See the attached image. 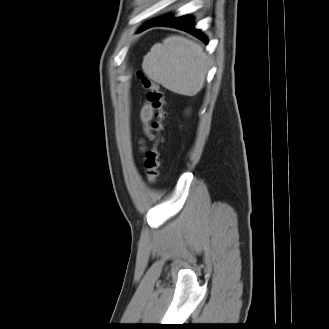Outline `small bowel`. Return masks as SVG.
<instances>
[{
	"instance_id": "obj_1",
	"label": "small bowel",
	"mask_w": 329,
	"mask_h": 329,
	"mask_svg": "<svg viewBox=\"0 0 329 329\" xmlns=\"http://www.w3.org/2000/svg\"><path fill=\"white\" fill-rule=\"evenodd\" d=\"M153 118V110L149 104H145L140 111V119L143 124L144 133L146 135H149L150 130V122ZM142 146L140 147V150H144L143 141L141 142Z\"/></svg>"
}]
</instances>
